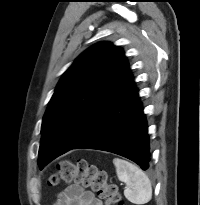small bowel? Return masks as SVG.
<instances>
[{
  "label": "small bowel",
  "mask_w": 200,
  "mask_h": 205,
  "mask_svg": "<svg viewBox=\"0 0 200 205\" xmlns=\"http://www.w3.org/2000/svg\"><path fill=\"white\" fill-rule=\"evenodd\" d=\"M54 205H103L94 193L79 184L70 185L57 195Z\"/></svg>",
  "instance_id": "c3829d8e"
}]
</instances>
